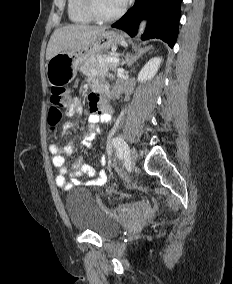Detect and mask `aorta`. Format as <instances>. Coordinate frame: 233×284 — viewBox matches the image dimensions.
<instances>
[{
    "instance_id": "1",
    "label": "aorta",
    "mask_w": 233,
    "mask_h": 284,
    "mask_svg": "<svg viewBox=\"0 0 233 284\" xmlns=\"http://www.w3.org/2000/svg\"><path fill=\"white\" fill-rule=\"evenodd\" d=\"M144 28H145V21H143V22L140 24V28H139L138 35H141V34L143 33Z\"/></svg>"
}]
</instances>
